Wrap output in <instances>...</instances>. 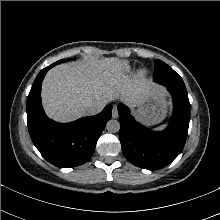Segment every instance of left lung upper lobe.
<instances>
[{"instance_id":"5c2ea615","label":"left lung upper lobe","mask_w":220,"mask_h":220,"mask_svg":"<svg viewBox=\"0 0 220 220\" xmlns=\"http://www.w3.org/2000/svg\"><path fill=\"white\" fill-rule=\"evenodd\" d=\"M154 65V81L164 86L186 88L182 78L166 63L162 62L161 60H155Z\"/></svg>"}]
</instances>
